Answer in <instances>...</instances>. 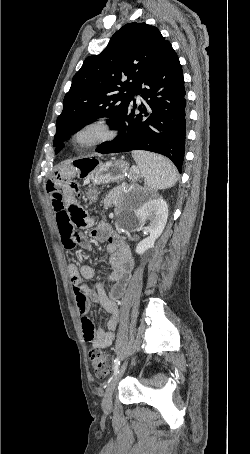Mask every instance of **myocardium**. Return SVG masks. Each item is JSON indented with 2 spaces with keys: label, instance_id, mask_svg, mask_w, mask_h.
Returning a JSON list of instances; mask_svg holds the SVG:
<instances>
[{
  "label": "myocardium",
  "instance_id": "obj_1",
  "mask_svg": "<svg viewBox=\"0 0 250 454\" xmlns=\"http://www.w3.org/2000/svg\"><path fill=\"white\" fill-rule=\"evenodd\" d=\"M115 135L110 119L98 116L78 126L72 133L71 141L79 149H90L113 139Z\"/></svg>",
  "mask_w": 250,
  "mask_h": 454
}]
</instances>
